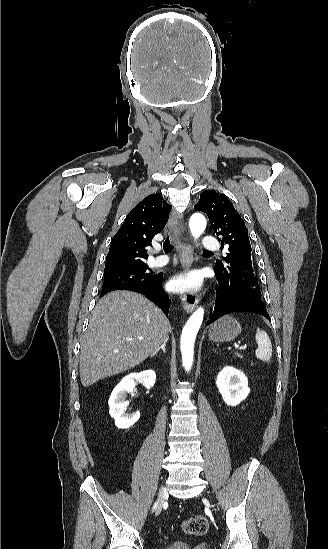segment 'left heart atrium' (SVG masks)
<instances>
[{
	"mask_svg": "<svg viewBox=\"0 0 328 549\" xmlns=\"http://www.w3.org/2000/svg\"><path fill=\"white\" fill-rule=\"evenodd\" d=\"M200 280L199 274L188 273L172 280L171 286L176 291L192 290L199 286Z\"/></svg>",
	"mask_w": 328,
	"mask_h": 549,
	"instance_id": "1",
	"label": "left heart atrium"
}]
</instances>
